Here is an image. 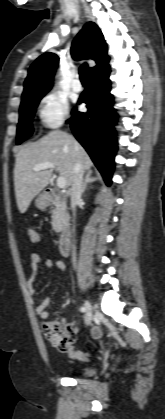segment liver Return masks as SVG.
<instances>
[{
  "mask_svg": "<svg viewBox=\"0 0 165 419\" xmlns=\"http://www.w3.org/2000/svg\"><path fill=\"white\" fill-rule=\"evenodd\" d=\"M50 162L57 168L66 185L72 184L73 168L79 162L90 170L92 161L76 139L63 131H51L39 141L25 145L16 154L14 186L18 209L25 213L33 198L50 182L52 169L34 171L41 163Z\"/></svg>",
  "mask_w": 165,
  "mask_h": 419,
  "instance_id": "6515ba94",
  "label": "liver"
}]
</instances>
